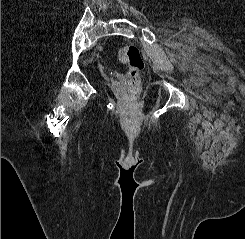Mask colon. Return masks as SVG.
Returning a JSON list of instances; mask_svg holds the SVG:
<instances>
[{
    "label": "colon",
    "instance_id": "colon-1",
    "mask_svg": "<svg viewBox=\"0 0 245 239\" xmlns=\"http://www.w3.org/2000/svg\"><path fill=\"white\" fill-rule=\"evenodd\" d=\"M118 59L127 66L128 93L130 97L135 98L140 90V76L144 69L141 52L136 45L131 44L119 50Z\"/></svg>",
    "mask_w": 245,
    "mask_h": 239
}]
</instances>
